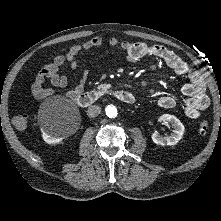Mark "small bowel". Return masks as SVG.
<instances>
[{
	"instance_id": "1",
	"label": "small bowel",
	"mask_w": 221,
	"mask_h": 221,
	"mask_svg": "<svg viewBox=\"0 0 221 221\" xmlns=\"http://www.w3.org/2000/svg\"><path fill=\"white\" fill-rule=\"evenodd\" d=\"M105 42L111 47L124 51L126 60L130 63H135L146 57H156L163 60L176 74L186 76L188 82L183 85L182 93L185 96L184 112L187 117L197 119L200 117L201 112L208 107L210 101L202 76L198 70L190 67L173 51L162 45L130 42L115 37L105 40L101 36H95L71 46L65 54L57 55L53 62L46 64L36 75L35 82L32 85L33 96L37 99H44L53 95L57 89L66 88L68 78L62 73L61 67L68 63L71 69H77V58L81 53L101 47ZM87 79L88 71L85 70L79 82L73 88L67 90L65 95L75 99L77 95L83 92ZM46 80L50 81V87L44 86ZM158 105L162 108L170 109L175 107L176 101L172 96L164 95L158 99Z\"/></svg>"
}]
</instances>
